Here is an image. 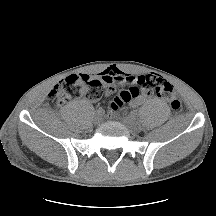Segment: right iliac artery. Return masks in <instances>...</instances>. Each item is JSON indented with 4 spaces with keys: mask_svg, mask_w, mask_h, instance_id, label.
Instances as JSON below:
<instances>
[{
    "mask_svg": "<svg viewBox=\"0 0 216 216\" xmlns=\"http://www.w3.org/2000/svg\"><path fill=\"white\" fill-rule=\"evenodd\" d=\"M96 114L102 116V115L105 114V111H104V109H102V108H98V109L96 110Z\"/></svg>",
    "mask_w": 216,
    "mask_h": 216,
    "instance_id": "right-iliac-artery-1",
    "label": "right iliac artery"
}]
</instances>
